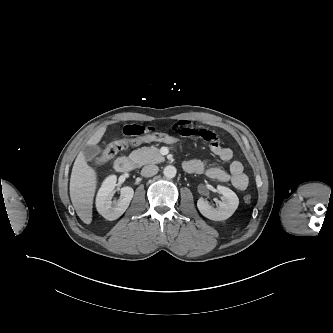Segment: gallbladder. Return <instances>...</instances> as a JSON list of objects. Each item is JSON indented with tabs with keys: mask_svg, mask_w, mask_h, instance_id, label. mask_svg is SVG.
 Here are the masks:
<instances>
[{
	"mask_svg": "<svg viewBox=\"0 0 333 333\" xmlns=\"http://www.w3.org/2000/svg\"><path fill=\"white\" fill-rule=\"evenodd\" d=\"M83 153L88 160H94L100 154V148L96 145H86Z\"/></svg>",
	"mask_w": 333,
	"mask_h": 333,
	"instance_id": "obj_1",
	"label": "gallbladder"
}]
</instances>
